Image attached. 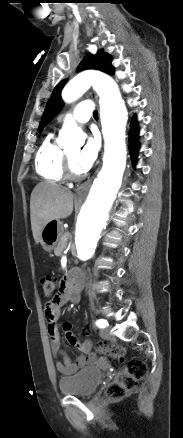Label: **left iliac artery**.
Masks as SVG:
<instances>
[{
	"instance_id": "1",
	"label": "left iliac artery",
	"mask_w": 183,
	"mask_h": 438,
	"mask_svg": "<svg viewBox=\"0 0 183 438\" xmlns=\"http://www.w3.org/2000/svg\"><path fill=\"white\" fill-rule=\"evenodd\" d=\"M95 324L99 327V328H105L108 326V322L107 320L104 319H99L95 322Z\"/></svg>"
}]
</instances>
